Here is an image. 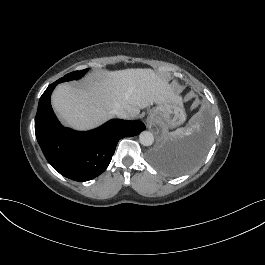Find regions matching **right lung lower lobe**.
<instances>
[{
  "label": "right lung lower lobe",
  "instance_id": "1",
  "mask_svg": "<svg viewBox=\"0 0 265 265\" xmlns=\"http://www.w3.org/2000/svg\"><path fill=\"white\" fill-rule=\"evenodd\" d=\"M58 80L42 94L35 118V134L50 165L75 181L91 180L106 170L118 141L145 129L140 121L113 119L88 132L64 128L57 120L50 96Z\"/></svg>",
  "mask_w": 265,
  "mask_h": 265
}]
</instances>
